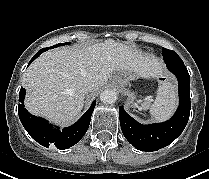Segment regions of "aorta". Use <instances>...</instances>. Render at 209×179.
I'll return each mask as SVG.
<instances>
[{"mask_svg":"<svg viewBox=\"0 0 209 179\" xmlns=\"http://www.w3.org/2000/svg\"><path fill=\"white\" fill-rule=\"evenodd\" d=\"M100 100L105 104H113L117 100V93L114 90L106 89L101 93Z\"/></svg>","mask_w":209,"mask_h":179,"instance_id":"aorta-1","label":"aorta"}]
</instances>
